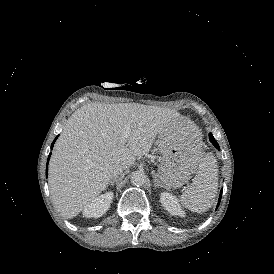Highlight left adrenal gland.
I'll use <instances>...</instances> for the list:
<instances>
[{"instance_id":"1","label":"left adrenal gland","mask_w":274,"mask_h":274,"mask_svg":"<svg viewBox=\"0 0 274 274\" xmlns=\"http://www.w3.org/2000/svg\"><path fill=\"white\" fill-rule=\"evenodd\" d=\"M152 176H153V178H154V187H155L156 190H157V188H160V184H159L158 180L156 179V175H155V172H154V171H152Z\"/></svg>"}]
</instances>
